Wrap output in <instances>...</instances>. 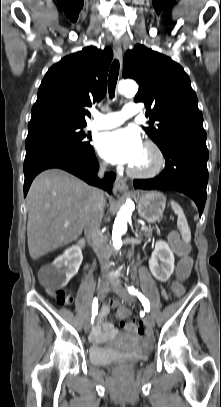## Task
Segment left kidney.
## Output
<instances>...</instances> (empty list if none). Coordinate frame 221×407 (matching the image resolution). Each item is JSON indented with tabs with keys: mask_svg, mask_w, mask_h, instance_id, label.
<instances>
[{
	"mask_svg": "<svg viewBox=\"0 0 221 407\" xmlns=\"http://www.w3.org/2000/svg\"><path fill=\"white\" fill-rule=\"evenodd\" d=\"M174 262V255L169 245L165 241H157L149 259V268L155 279L166 282L174 271Z\"/></svg>",
	"mask_w": 221,
	"mask_h": 407,
	"instance_id": "1",
	"label": "left kidney"
}]
</instances>
